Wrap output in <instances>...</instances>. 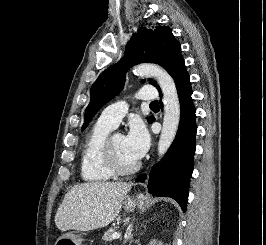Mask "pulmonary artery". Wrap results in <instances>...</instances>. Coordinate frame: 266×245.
Listing matches in <instances>:
<instances>
[{
	"label": "pulmonary artery",
	"instance_id": "1",
	"mask_svg": "<svg viewBox=\"0 0 266 245\" xmlns=\"http://www.w3.org/2000/svg\"><path fill=\"white\" fill-rule=\"evenodd\" d=\"M145 91H137V101H153L156 95L154 86H145ZM128 111V105L125 103H119L107 106L100 113L98 120L109 123L113 127H116L124 115Z\"/></svg>",
	"mask_w": 266,
	"mask_h": 245
}]
</instances>
